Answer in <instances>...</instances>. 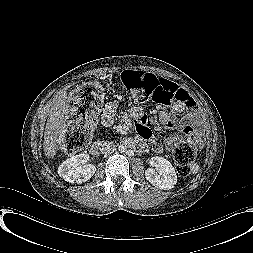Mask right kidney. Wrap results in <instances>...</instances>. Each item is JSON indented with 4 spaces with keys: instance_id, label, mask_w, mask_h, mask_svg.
I'll list each match as a JSON object with an SVG mask.
<instances>
[{
    "instance_id": "obj_1",
    "label": "right kidney",
    "mask_w": 253,
    "mask_h": 253,
    "mask_svg": "<svg viewBox=\"0 0 253 253\" xmlns=\"http://www.w3.org/2000/svg\"><path fill=\"white\" fill-rule=\"evenodd\" d=\"M90 156L85 153L75 155L65 160L58 167V174L70 183H82L88 181L95 173L96 167L88 164Z\"/></svg>"
}]
</instances>
